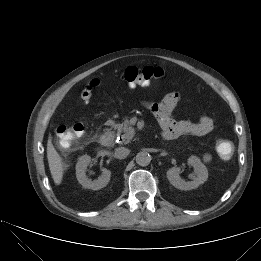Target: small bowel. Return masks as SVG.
I'll list each match as a JSON object with an SVG mask.
<instances>
[{
	"instance_id": "obj_1",
	"label": "small bowel",
	"mask_w": 261,
	"mask_h": 261,
	"mask_svg": "<svg viewBox=\"0 0 261 261\" xmlns=\"http://www.w3.org/2000/svg\"><path fill=\"white\" fill-rule=\"evenodd\" d=\"M132 88L136 85L130 84ZM179 94L172 92L167 94L161 101H144L142 104L150 109L157 118L165 139H176L183 135L203 136L210 133L214 128L213 120L203 116L196 123L189 121H175L171 118V112L179 102Z\"/></svg>"
}]
</instances>
